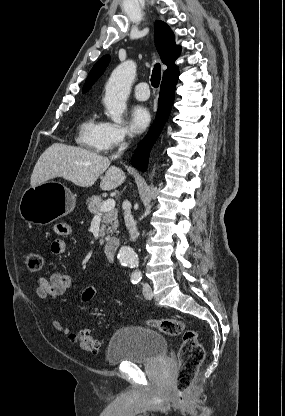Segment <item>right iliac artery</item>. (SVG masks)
Segmentation results:
<instances>
[{"mask_svg": "<svg viewBox=\"0 0 285 416\" xmlns=\"http://www.w3.org/2000/svg\"><path fill=\"white\" fill-rule=\"evenodd\" d=\"M141 278H142L141 274L139 272L138 273L135 272L131 276V282L133 284H137L141 280Z\"/></svg>", "mask_w": 285, "mask_h": 416, "instance_id": "82829eb1", "label": "right iliac artery"}]
</instances>
